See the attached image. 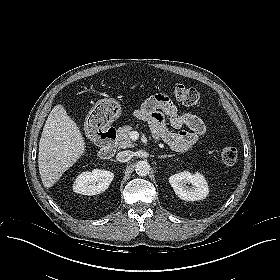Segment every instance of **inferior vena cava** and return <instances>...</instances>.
<instances>
[{"mask_svg":"<svg viewBox=\"0 0 280 280\" xmlns=\"http://www.w3.org/2000/svg\"><path fill=\"white\" fill-rule=\"evenodd\" d=\"M132 157H133V152L130 150H126V151L119 152L116 155V160L124 163L130 161Z\"/></svg>","mask_w":280,"mask_h":280,"instance_id":"602c4592","label":"inferior vena cava"}]
</instances>
